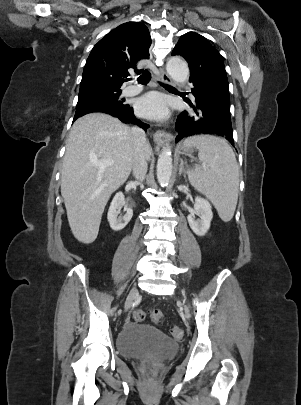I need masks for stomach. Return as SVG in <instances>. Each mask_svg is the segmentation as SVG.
<instances>
[{
  "mask_svg": "<svg viewBox=\"0 0 301 405\" xmlns=\"http://www.w3.org/2000/svg\"><path fill=\"white\" fill-rule=\"evenodd\" d=\"M181 149L186 154H191L193 152V150L190 147H182Z\"/></svg>",
  "mask_w": 301,
  "mask_h": 405,
  "instance_id": "stomach-1",
  "label": "stomach"
}]
</instances>
